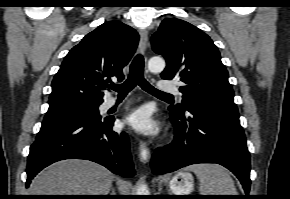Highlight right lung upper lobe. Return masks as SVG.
Wrapping results in <instances>:
<instances>
[{
  "label": "right lung upper lobe",
  "instance_id": "obj_1",
  "mask_svg": "<svg viewBox=\"0 0 290 199\" xmlns=\"http://www.w3.org/2000/svg\"><path fill=\"white\" fill-rule=\"evenodd\" d=\"M138 33L120 21L105 22L66 55L52 81L46 115L65 113L103 102L102 90L112 77L123 79L138 45Z\"/></svg>",
  "mask_w": 290,
  "mask_h": 199
}]
</instances>
